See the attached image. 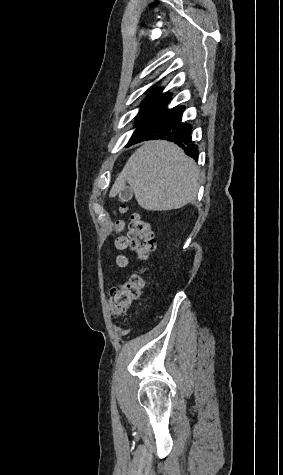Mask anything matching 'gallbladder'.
Masks as SVG:
<instances>
[{
	"label": "gallbladder",
	"instance_id": "obj_1",
	"mask_svg": "<svg viewBox=\"0 0 283 475\" xmlns=\"http://www.w3.org/2000/svg\"><path fill=\"white\" fill-rule=\"evenodd\" d=\"M132 194L133 192L131 188H129V186H125L124 190H122V192L119 194V200H121V202H128V200H131Z\"/></svg>",
	"mask_w": 283,
	"mask_h": 475
}]
</instances>
